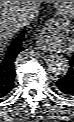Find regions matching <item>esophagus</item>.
Listing matches in <instances>:
<instances>
[{
    "label": "esophagus",
    "mask_w": 74,
    "mask_h": 122,
    "mask_svg": "<svg viewBox=\"0 0 74 122\" xmlns=\"http://www.w3.org/2000/svg\"><path fill=\"white\" fill-rule=\"evenodd\" d=\"M50 45L49 40L47 38V35L45 32H42L39 36H38V40H37V46L39 49L41 50H47L48 46Z\"/></svg>",
    "instance_id": "obj_1"
}]
</instances>
